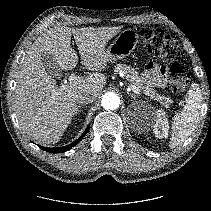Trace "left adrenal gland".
<instances>
[{
    "label": "left adrenal gland",
    "mask_w": 211,
    "mask_h": 211,
    "mask_svg": "<svg viewBox=\"0 0 211 211\" xmlns=\"http://www.w3.org/2000/svg\"><path fill=\"white\" fill-rule=\"evenodd\" d=\"M132 99H136L138 96L134 94H129Z\"/></svg>",
    "instance_id": "1"
}]
</instances>
